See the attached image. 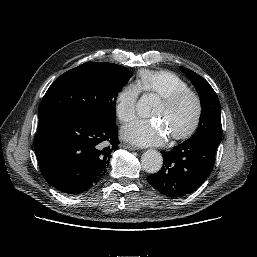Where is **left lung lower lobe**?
Wrapping results in <instances>:
<instances>
[{
  "label": "left lung lower lobe",
  "mask_w": 257,
  "mask_h": 257,
  "mask_svg": "<svg viewBox=\"0 0 257 257\" xmlns=\"http://www.w3.org/2000/svg\"><path fill=\"white\" fill-rule=\"evenodd\" d=\"M219 143L208 139H187L164 152L163 166L147 181L168 197H183L196 191L213 170Z\"/></svg>",
  "instance_id": "left-lung-lower-lobe-1"
}]
</instances>
